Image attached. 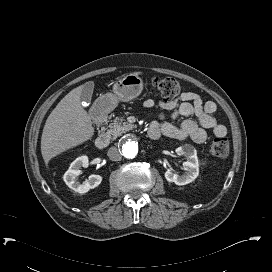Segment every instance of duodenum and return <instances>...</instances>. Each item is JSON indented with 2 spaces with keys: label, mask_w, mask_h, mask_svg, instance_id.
Listing matches in <instances>:
<instances>
[{
  "label": "duodenum",
  "mask_w": 272,
  "mask_h": 272,
  "mask_svg": "<svg viewBox=\"0 0 272 272\" xmlns=\"http://www.w3.org/2000/svg\"><path fill=\"white\" fill-rule=\"evenodd\" d=\"M108 104L105 102L94 106L90 111V118L94 123H103L107 117ZM147 136L152 140H157L161 137L160 129L151 125L147 130ZM109 145V137L107 135H100L96 139V146L99 149H104Z\"/></svg>",
  "instance_id": "410a0bca"
}]
</instances>
